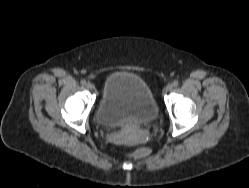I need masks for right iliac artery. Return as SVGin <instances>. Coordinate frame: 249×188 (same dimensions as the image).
I'll list each match as a JSON object with an SVG mask.
<instances>
[{
	"mask_svg": "<svg viewBox=\"0 0 249 188\" xmlns=\"http://www.w3.org/2000/svg\"><path fill=\"white\" fill-rule=\"evenodd\" d=\"M81 84L82 85H85L86 84V81L83 79V80H81Z\"/></svg>",
	"mask_w": 249,
	"mask_h": 188,
	"instance_id": "1",
	"label": "right iliac artery"
}]
</instances>
